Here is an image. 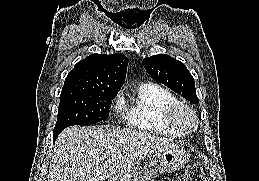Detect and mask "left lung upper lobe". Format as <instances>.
<instances>
[{
	"instance_id": "left-lung-upper-lobe-1",
	"label": "left lung upper lobe",
	"mask_w": 259,
	"mask_h": 181,
	"mask_svg": "<svg viewBox=\"0 0 259 181\" xmlns=\"http://www.w3.org/2000/svg\"><path fill=\"white\" fill-rule=\"evenodd\" d=\"M147 73L192 103H198L194 78L186 66L169 55L160 54L143 60Z\"/></svg>"
}]
</instances>
